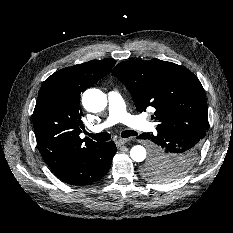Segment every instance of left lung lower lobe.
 <instances>
[{
	"label": "left lung lower lobe",
	"instance_id": "obj_1",
	"mask_svg": "<svg viewBox=\"0 0 233 233\" xmlns=\"http://www.w3.org/2000/svg\"><path fill=\"white\" fill-rule=\"evenodd\" d=\"M139 139L154 143L152 159H158L170 170H160V175L176 179L184 171H189L196 161L201 145V136L190 129L157 130V134L143 133ZM161 182V181H160Z\"/></svg>",
	"mask_w": 233,
	"mask_h": 233
}]
</instances>
